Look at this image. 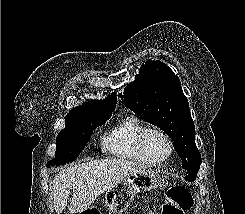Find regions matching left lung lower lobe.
<instances>
[{
    "label": "left lung lower lobe",
    "mask_w": 245,
    "mask_h": 214,
    "mask_svg": "<svg viewBox=\"0 0 245 214\" xmlns=\"http://www.w3.org/2000/svg\"><path fill=\"white\" fill-rule=\"evenodd\" d=\"M195 176L196 175H189V176L186 177V180L189 181V182H192V181L195 180Z\"/></svg>",
    "instance_id": "0a47b994"
}]
</instances>
